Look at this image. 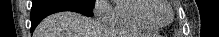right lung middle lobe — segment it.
I'll return each mask as SVG.
<instances>
[{
  "mask_svg": "<svg viewBox=\"0 0 219 37\" xmlns=\"http://www.w3.org/2000/svg\"><path fill=\"white\" fill-rule=\"evenodd\" d=\"M49 0H33V5H37V4H40V3H43V2H47ZM73 2H76L82 6H85L89 9H92V4H93V0H75Z\"/></svg>",
  "mask_w": 219,
  "mask_h": 37,
  "instance_id": "1",
  "label": "right lung middle lobe"
}]
</instances>
